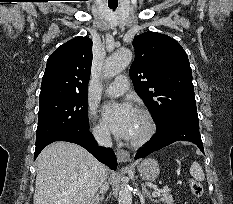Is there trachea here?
Listing matches in <instances>:
<instances>
[{
	"instance_id": "1",
	"label": "trachea",
	"mask_w": 233,
	"mask_h": 204,
	"mask_svg": "<svg viewBox=\"0 0 233 204\" xmlns=\"http://www.w3.org/2000/svg\"><path fill=\"white\" fill-rule=\"evenodd\" d=\"M117 7H118V5H109V8L112 10H116Z\"/></svg>"
}]
</instances>
